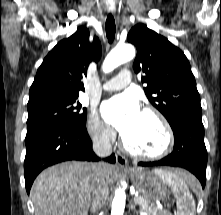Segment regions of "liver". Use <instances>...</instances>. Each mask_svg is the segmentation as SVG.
<instances>
[{
  "instance_id": "obj_1",
  "label": "liver",
  "mask_w": 221,
  "mask_h": 215,
  "mask_svg": "<svg viewBox=\"0 0 221 215\" xmlns=\"http://www.w3.org/2000/svg\"><path fill=\"white\" fill-rule=\"evenodd\" d=\"M93 166L73 161L42 171L30 191L35 215H87L96 185ZM114 177L115 166L106 165V183Z\"/></svg>"
}]
</instances>
